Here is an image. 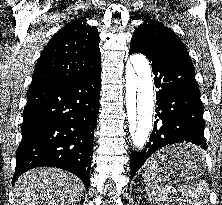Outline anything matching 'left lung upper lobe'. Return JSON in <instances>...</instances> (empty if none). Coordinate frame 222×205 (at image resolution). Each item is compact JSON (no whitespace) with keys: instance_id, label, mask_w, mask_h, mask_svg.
Listing matches in <instances>:
<instances>
[{"instance_id":"obj_1","label":"left lung upper lobe","mask_w":222,"mask_h":205,"mask_svg":"<svg viewBox=\"0 0 222 205\" xmlns=\"http://www.w3.org/2000/svg\"><path fill=\"white\" fill-rule=\"evenodd\" d=\"M144 19V23L135 29L131 41L138 40L151 47H172L186 51L184 43L172 30L155 19L147 16H144Z\"/></svg>"}]
</instances>
